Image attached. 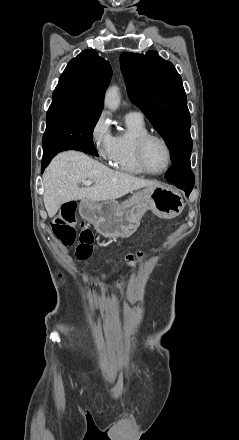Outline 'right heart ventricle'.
Segmentation results:
<instances>
[{
  "label": "right heart ventricle",
  "mask_w": 239,
  "mask_h": 440,
  "mask_svg": "<svg viewBox=\"0 0 239 440\" xmlns=\"http://www.w3.org/2000/svg\"><path fill=\"white\" fill-rule=\"evenodd\" d=\"M127 130L115 136V150L110 164L117 170L133 175H142L144 172L139 167L134 145L137 137L148 132L144 120L132 117L126 118Z\"/></svg>",
  "instance_id": "1"
}]
</instances>
